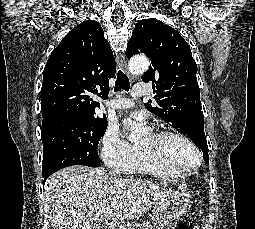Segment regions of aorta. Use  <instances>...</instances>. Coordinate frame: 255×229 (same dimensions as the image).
I'll list each match as a JSON object with an SVG mask.
<instances>
[{"mask_svg":"<svg viewBox=\"0 0 255 229\" xmlns=\"http://www.w3.org/2000/svg\"><path fill=\"white\" fill-rule=\"evenodd\" d=\"M149 68V61L145 56H136L130 59L128 69L134 75L145 73ZM125 123L130 127L129 141L137 142L142 136V128L131 119H125Z\"/></svg>","mask_w":255,"mask_h":229,"instance_id":"762f6f07","label":"aorta"}]
</instances>
